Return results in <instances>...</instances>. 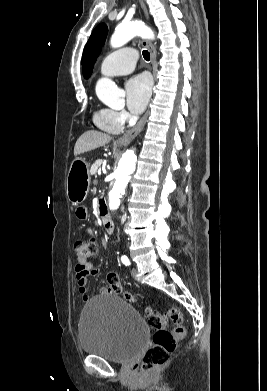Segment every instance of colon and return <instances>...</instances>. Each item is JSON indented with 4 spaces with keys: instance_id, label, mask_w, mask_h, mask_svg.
Segmentation results:
<instances>
[{
    "instance_id": "obj_1",
    "label": "colon",
    "mask_w": 267,
    "mask_h": 391,
    "mask_svg": "<svg viewBox=\"0 0 267 391\" xmlns=\"http://www.w3.org/2000/svg\"><path fill=\"white\" fill-rule=\"evenodd\" d=\"M73 252L76 257V267L84 269L92 265V259L98 252V245L93 239H78L73 244ZM107 284L110 293L122 295L129 302L136 300L132 293L123 289L117 272L111 271L107 274ZM146 317L153 330V336L152 344L142 359L141 369L144 373L149 374L168 361L170 354L184 338L186 329L182 325L181 313L175 307H171L165 312L147 308ZM169 321L174 323L172 330L168 328Z\"/></svg>"
}]
</instances>
